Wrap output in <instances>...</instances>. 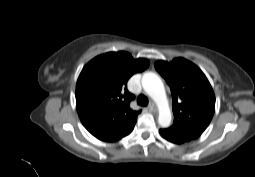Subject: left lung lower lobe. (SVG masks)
Here are the masks:
<instances>
[{"label": "left lung lower lobe", "instance_id": "obj_1", "mask_svg": "<svg viewBox=\"0 0 255 177\" xmlns=\"http://www.w3.org/2000/svg\"><path fill=\"white\" fill-rule=\"evenodd\" d=\"M159 132L163 138H165L166 140H168L170 142L177 143V144H181V143L185 142L182 139L168 133L165 129H161V130H159Z\"/></svg>", "mask_w": 255, "mask_h": 177}]
</instances>
